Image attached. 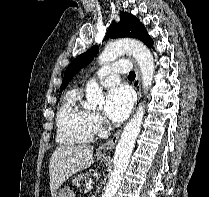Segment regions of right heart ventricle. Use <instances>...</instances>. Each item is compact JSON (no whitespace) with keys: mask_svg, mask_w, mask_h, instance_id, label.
<instances>
[{"mask_svg":"<svg viewBox=\"0 0 209 197\" xmlns=\"http://www.w3.org/2000/svg\"><path fill=\"white\" fill-rule=\"evenodd\" d=\"M91 112L81 98L79 89L70 90L57 112V140L61 144L76 145L93 140Z\"/></svg>","mask_w":209,"mask_h":197,"instance_id":"e07e8e85","label":"right heart ventricle"}]
</instances>
